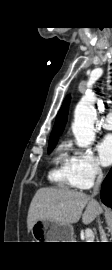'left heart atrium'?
<instances>
[{"instance_id":"1","label":"left heart atrium","mask_w":112,"mask_h":270,"mask_svg":"<svg viewBox=\"0 0 112 270\" xmlns=\"http://www.w3.org/2000/svg\"><path fill=\"white\" fill-rule=\"evenodd\" d=\"M98 153L103 165L112 164V134L105 136L98 144Z\"/></svg>"}]
</instances>
